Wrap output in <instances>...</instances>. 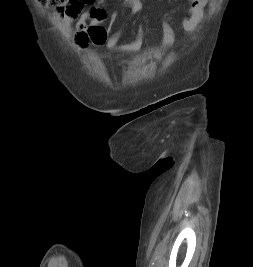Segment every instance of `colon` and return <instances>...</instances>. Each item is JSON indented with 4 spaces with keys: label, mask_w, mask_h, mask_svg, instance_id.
<instances>
[{
    "label": "colon",
    "mask_w": 253,
    "mask_h": 267,
    "mask_svg": "<svg viewBox=\"0 0 253 267\" xmlns=\"http://www.w3.org/2000/svg\"><path fill=\"white\" fill-rule=\"evenodd\" d=\"M41 6L50 4L56 7L67 6L71 0H38ZM89 38L95 46H105L108 41L107 29L101 25L90 26L88 29Z\"/></svg>",
    "instance_id": "1"
}]
</instances>
